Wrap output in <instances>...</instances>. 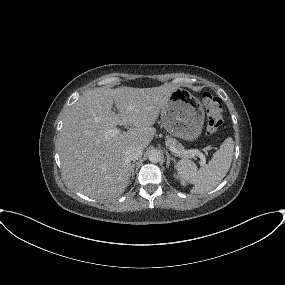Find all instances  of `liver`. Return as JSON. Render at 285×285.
Segmentation results:
<instances>
[{
    "label": "liver",
    "mask_w": 285,
    "mask_h": 285,
    "mask_svg": "<svg viewBox=\"0 0 285 285\" xmlns=\"http://www.w3.org/2000/svg\"><path fill=\"white\" fill-rule=\"evenodd\" d=\"M178 87H119L88 90L70 107L60 132L58 150L62 173L82 194L96 199L116 198L129 184L131 163L126 151L145 149L153 127L171 93ZM115 104L118 114L112 110ZM131 126L114 137L116 126Z\"/></svg>",
    "instance_id": "liver-1"
}]
</instances>
